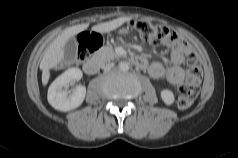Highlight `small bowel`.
<instances>
[{
  "label": "small bowel",
  "mask_w": 238,
  "mask_h": 158,
  "mask_svg": "<svg viewBox=\"0 0 238 158\" xmlns=\"http://www.w3.org/2000/svg\"><path fill=\"white\" fill-rule=\"evenodd\" d=\"M163 44L170 49L171 66H165L159 62H153L148 66V72L154 79H160L166 76L167 80L174 85H179L184 81L185 72L182 68L185 55L191 50L189 44L180 36H174Z\"/></svg>",
  "instance_id": "obj_1"
}]
</instances>
